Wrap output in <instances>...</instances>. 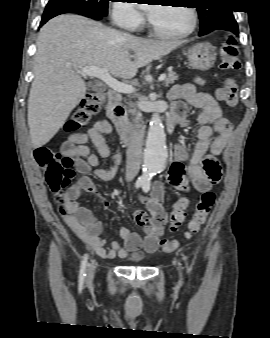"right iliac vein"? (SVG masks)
<instances>
[{"label":"right iliac vein","mask_w":270,"mask_h":338,"mask_svg":"<svg viewBox=\"0 0 270 338\" xmlns=\"http://www.w3.org/2000/svg\"><path fill=\"white\" fill-rule=\"evenodd\" d=\"M95 267L94 265L90 266L88 269L87 282L90 283L94 279Z\"/></svg>","instance_id":"63e3f726"}]
</instances>
